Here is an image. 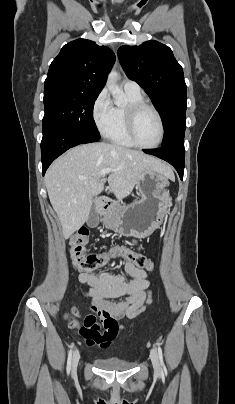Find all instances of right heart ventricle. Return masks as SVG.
Wrapping results in <instances>:
<instances>
[{
  "label": "right heart ventricle",
  "mask_w": 235,
  "mask_h": 404,
  "mask_svg": "<svg viewBox=\"0 0 235 404\" xmlns=\"http://www.w3.org/2000/svg\"><path fill=\"white\" fill-rule=\"evenodd\" d=\"M125 94L128 104L126 106L113 107L109 126L103 134L110 142L116 145L135 147L127 135L125 110L129 104L143 102V97L141 93L134 94L125 92Z\"/></svg>",
  "instance_id": "e07e8e85"
}]
</instances>
